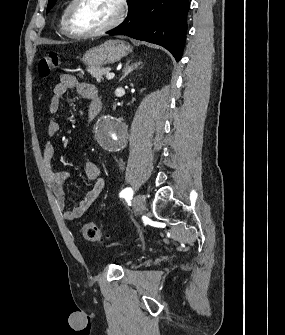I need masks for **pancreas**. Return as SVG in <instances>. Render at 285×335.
Returning <instances> with one entry per match:
<instances>
[{
    "mask_svg": "<svg viewBox=\"0 0 285 335\" xmlns=\"http://www.w3.org/2000/svg\"><path fill=\"white\" fill-rule=\"evenodd\" d=\"M88 70L89 72H91L94 78H97V82H100V80H104L102 76H105L107 72H110V68H93V66H89Z\"/></svg>",
    "mask_w": 285,
    "mask_h": 335,
    "instance_id": "obj_1",
    "label": "pancreas"
}]
</instances>
